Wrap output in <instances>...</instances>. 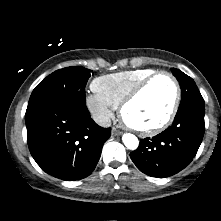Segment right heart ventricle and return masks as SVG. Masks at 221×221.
<instances>
[{
  "label": "right heart ventricle",
  "instance_id": "right-heart-ventricle-1",
  "mask_svg": "<svg viewBox=\"0 0 221 221\" xmlns=\"http://www.w3.org/2000/svg\"><path fill=\"white\" fill-rule=\"evenodd\" d=\"M154 72L155 70L150 68H139L103 75L93 80L92 89L116 108L138 83Z\"/></svg>",
  "mask_w": 221,
  "mask_h": 221
}]
</instances>
